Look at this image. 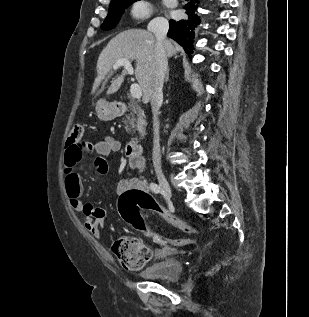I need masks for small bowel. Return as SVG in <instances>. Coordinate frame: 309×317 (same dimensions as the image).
Wrapping results in <instances>:
<instances>
[{
	"label": "small bowel",
	"instance_id": "c3829d8e",
	"mask_svg": "<svg viewBox=\"0 0 309 317\" xmlns=\"http://www.w3.org/2000/svg\"><path fill=\"white\" fill-rule=\"evenodd\" d=\"M89 146L90 150H88V153H91L92 151H95L96 153L92 162L93 169L99 174L107 173L108 162L106 158L120 150V141L109 136L95 142L93 145L89 144ZM84 152L85 154H88L86 153V149H84ZM78 162L67 164L65 161V191L73 209L83 214V224L85 229L92 236L99 239L101 237V229H103L106 224L105 219L107 217V211L82 200L83 184L77 169ZM128 165L131 169L143 171L145 168V159L141 155L129 158ZM131 189L148 192L147 180L142 176L130 177L121 180L117 185V192L120 195ZM167 250L168 248L158 249L156 254L161 255Z\"/></svg>",
	"mask_w": 309,
	"mask_h": 317
}]
</instances>
